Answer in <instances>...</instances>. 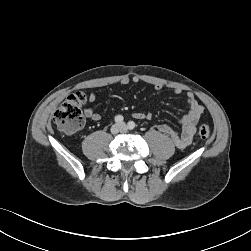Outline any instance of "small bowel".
<instances>
[{
  "label": "small bowel",
  "mask_w": 251,
  "mask_h": 251,
  "mask_svg": "<svg viewBox=\"0 0 251 251\" xmlns=\"http://www.w3.org/2000/svg\"><path fill=\"white\" fill-rule=\"evenodd\" d=\"M119 82L122 85H129L131 83L139 84L140 79L138 77L124 76ZM162 87L163 86L161 84L154 85L155 90H161ZM173 91L176 94L182 92L180 88H174ZM96 98L97 95L94 91L89 93V102H94ZM203 110L204 108L202 104L195 98V96L192 93H187V112L178 121L182 128L181 133H177L175 130L165 124L159 125L158 129L159 131L167 134L177 148H186L193 141L196 133L197 123L201 117V114L203 113ZM84 115L93 121H99L101 119V115L91 107L84 108ZM132 116L138 120H150L152 118V114L150 112H135L132 114Z\"/></svg>",
  "instance_id": "small-bowel-1"
}]
</instances>
